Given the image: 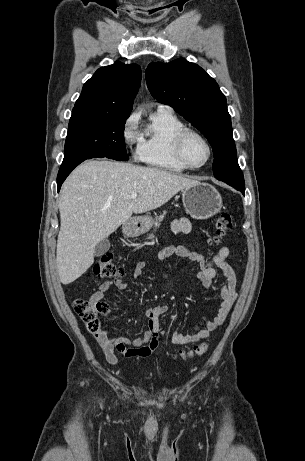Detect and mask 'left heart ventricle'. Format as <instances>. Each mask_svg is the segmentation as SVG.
I'll return each instance as SVG.
<instances>
[{
	"label": "left heart ventricle",
	"instance_id": "b2bd125f",
	"mask_svg": "<svg viewBox=\"0 0 305 461\" xmlns=\"http://www.w3.org/2000/svg\"><path fill=\"white\" fill-rule=\"evenodd\" d=\"M183 150L187 161L192 165H200L207 158V148L196 136L190 135L186 138Z\"/></svg>",
	"mask_w": 305,
	"mask_h": 461
}]
</instances>
